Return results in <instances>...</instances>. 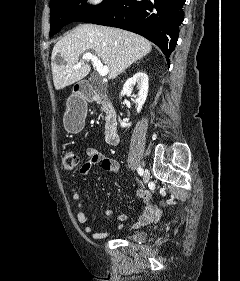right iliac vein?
I'll use <instances>...</instances> for the list:
<instances>
[{
  "instance_id": "obj_1",
  "label": "right iliac vein",
  "mask_w": 240,
  "mask_h": 281,
  "mask_svg": "<svg viewBox=\"0 0 240 281\" xmlns=\"http://www.w3.org/2000/svg\"><path fill=\"white\" fill-rule=\"evenodd\" d=\"M149 180H150V173H149L148 170H145V171H144V174H143V181H144V183L146 184V183L149 182Z\"/></svg>"
}]
</instances>
